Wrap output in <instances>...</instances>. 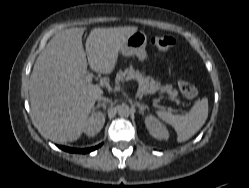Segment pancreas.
Wrapping results in <instances>:
<instances>
[{
  "instance_id": "obj_1",
  "label": "pancreas",
  "mask_w": 249,
  "mask_h": 188,
  "mask_svg": "<svg viewBox=\"0 0 249 188\" xmlns=\"http://www.w3.org/2000/svg\"><path fill=\"white\" fill-rule=\"evenodd\" d=\"M132 79L138 83L139 92L142 95L154 94L159 90L162 93L167 92L171 99H175L178 95L177 90L173 89L172 85L161 86L159 82H156L153 78L144 76L139 70H135L133 66L120 70L116 75L115 82L116 84H120L121 82Z\"/></svg>"
}]
</instances>
